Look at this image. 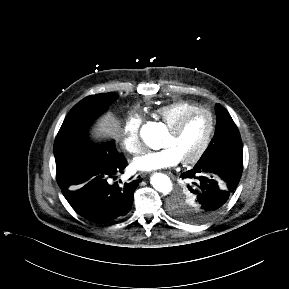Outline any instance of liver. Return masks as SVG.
<instances>
[{
  "mask_svg": "<svg viewBox=\"0 0 289 289\" xmlns=\"http://www.w3.org/2000/svg\"><path fill=\"white\" fill-rule=\"evenodd\" d=\"M120 133L119 121L112 113H107L102 116L95 127L93 128V136L95 138L114 136L117 137Z\"/></svg>",
  "mask_w": 289,
  "mask_h": 289,
  "instance_id": "obj_1",
  "label": "liver"
}]
</instances>
